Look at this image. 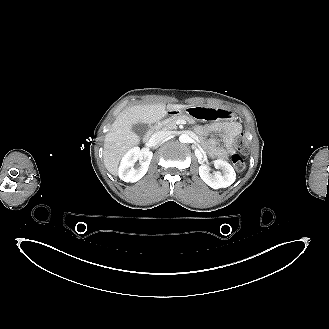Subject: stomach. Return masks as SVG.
Masks as SVG:
<instances>
[{
	"label": "stomach",
	"mask_w": 329,
	"mask_h": 329,
	"mask_svg": "<svg viewBox=\"0 0 329 329\" xmlns=\"http://www.w3.org/2000/svg\"><path fill=\"white\" fill-rule=\"evenodd\" d=\"M173 116L185 115L192 120L214 121L231 119L232 114L224 108H212L208 106H192L185 109L170 111Z\"/></svg>",
	"instance_id": "stomach-1"
}]
</instances>
